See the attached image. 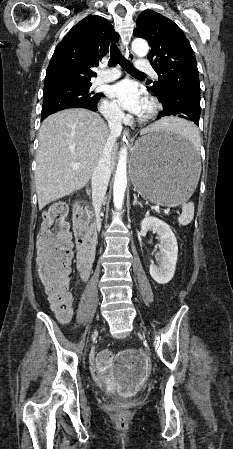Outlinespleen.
<instances>
[{"mask_svg":"<svg viewBox=\"0 0 233 449\" xmlns=\"http://www.w3.org/2000/svg\"><path fill=\"white\" fill-rule=\"evenodd\" d=\"M171 133H180L186 142H193L196 147L200 140V135L196 132L195 125H175V130L171 131ZM193 216L194 203L188 202L183 205L182 214L178 217V222L180 225L186 226L192 221Z\"/></svg>","mask_w":233,"mask_h":449,"instance_id":"obj_1","label":"spleen"}]
</instances>
